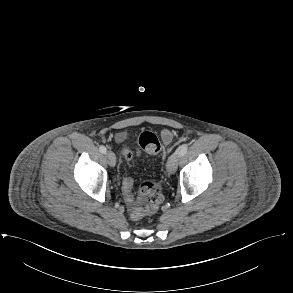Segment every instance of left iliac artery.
I'll return each mask as SVG.
<instances>
[{
  "label": "left iliac artery",
  "instance_id": "left-iliac-artery-1",
  "mask_svg": "<svg viewBox=\"0 0 293 293\" xmlns=\"http://www.w3.org/2000/svg\"><path fill=\"white\" fill-rule=\"evenodd\" d=\"M187 149H188L187 144H183V145H181V146L178 148V150H177L179 156H180V157L183 156V155L187 152Z\"/></svg>",
  "mask_w": 293,
  "mask_h": 293
}]
</instances>
